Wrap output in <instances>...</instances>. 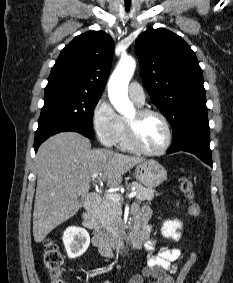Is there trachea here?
I'll use <instances>...</instances> for the list:
<instances>
[{
  "mask_svg": "<svg viewBox=\"0 0 233 283\" xmlns=\"http://www.w3.org/2000/svg\"><path fill=\"white\" fill-rule=\"evenodd\" d=\"M129 10H130V6L126 5V11H129Z\"/></svg>",
  "mask_w": 233,
  "mask_h": 283,
  "instance_id": "obj_1",
  "label": "trachea"
}]
</instances>
